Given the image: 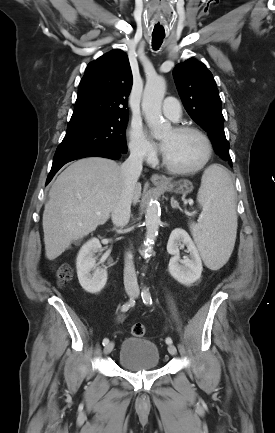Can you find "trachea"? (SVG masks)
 <instances>
[{
    "label": "trachea",
    "mask_w": 275,
    "mask_h": 433,
    "mask_svg": "<svg viewBox=\"0 0 275 433\" xmlns=\"http://www.w3.org/2000/svg\"><path fill=\"white\" fill-rule=\"evenodd\" d=\"M164 36L161 35H153L152 36V46L154 48V50H157L160 45L162 44Z\"/></svg>",
    "instance_id": "1"
}]
</instances>
